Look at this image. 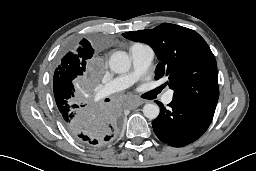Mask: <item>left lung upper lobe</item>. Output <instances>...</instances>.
Masks as SVG:
<instances>
[{
  "mask_svg": "<svg viewBox=\"0 0 256 171\" xmlns=\"http://www.w3.org/2000/svg\"><path fill=\"white\" fill-rule=\"evenodd\" d=\"M127 39L144 42L155 51L159 64L155 79L167 77L173 97L217 105V64L205 40L194 30L163 23L154 29L123 33Z\"/></svg>",
  "mask_w": 256,
  "mask_h": 171,
  "instance_id": "left-lung-upper-lobe-1",
  "label": "left lung upper lobe"
}]
</instances>
